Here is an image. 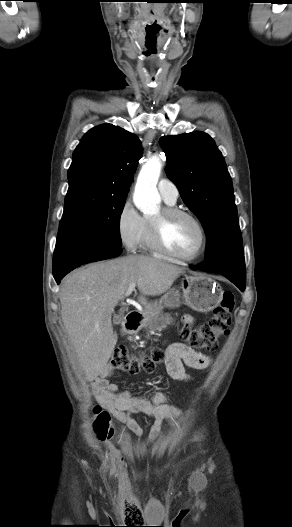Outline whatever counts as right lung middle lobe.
<instances>
[{"mask_svg":"<svg viewBox=\"0 0 292 527\" xmlns=\"http://www.w3.org/2000/svg\"><path fill=\"white\" fill-rule=\"evenodd\" d=\"M126 197L93 187L69 186L58 238H100L121 246L119 222Z\"/></svg>","mask_w":292,"mask_h":527,"instance_id":"obj_1","label":"right lung middle lobe"}]
</instances>
